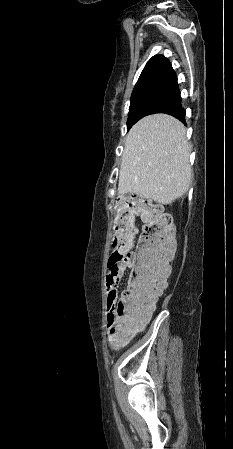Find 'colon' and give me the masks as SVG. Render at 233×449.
Listing matches in <instances>:
<instances>
[{"label":"colon","mask_w":233,"mask_h":449,"mask_svg":"<svg viewBox=\"0 0 233 449\" xmlns=\"http://www.w3.org/2000/svg\"><path fill=\"white\" fill-rule=\"evenodd\" d=\"M116 209L109 262L114 265L131 259L133 265L123 300L108 315L109 336L120 346L132 338L163 291L170 273L175 239L170 218L162 205L136 195H123L117 200ZM136 218H140L142 229L133 250Z\"/></svg>","instance_id":"obj_1"}]
</instances>
